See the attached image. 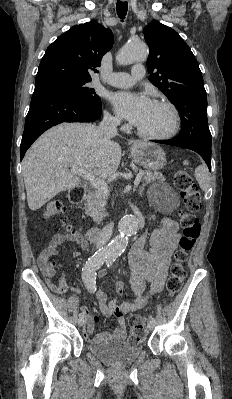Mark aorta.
Here are the masks:
<instances>
[{
    "label": "aorta",
    "mask_w": 232,
    "mask_h": 399,
    "mask_svg": "<svg viewBox=\"0 0 232 399\" xmlns=\"http://www.w3.org/2000/svg\"><path fill=\"white\" fill-rule=\"evenodd\" d=\"M147 46L139 41L127 43L122 47L117 55V62L120 65L131 64L135 61H142L147 58ZM139 219L135 215H126L119 222V232L103 250L106 256H120L126 249L128 237L135 234L138 230Z\"/></svg>",
    "instance_id": "obj_1"
}]
</instances>
